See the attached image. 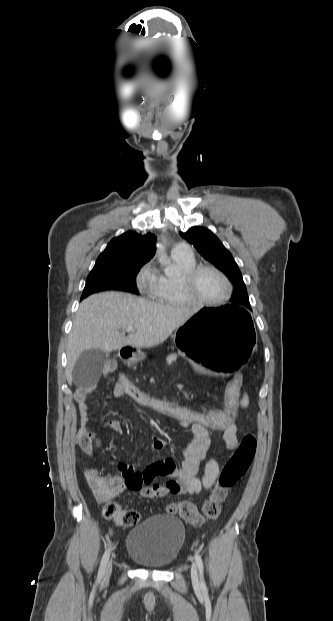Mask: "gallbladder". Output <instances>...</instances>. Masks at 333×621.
Listing matches in <instances>:
<instances>
[{
    "instance_id": "obj_1",
    "label": "gallbladder",
    "mask_w": 333,
    "mask_h": 621,
    "mask_svg": "<svg viewBox=\"0 0 333 621\" xmlns=\"http://www.w3.org/2000/svg\"><path fill=\"white\" fill-rule=\"evenodd\" d=\"M108 358L109 354L99 349H91L82 353L72 371L74 384L76 386L96 384L100 379Z\"/></svg>"
}]
</instances>
